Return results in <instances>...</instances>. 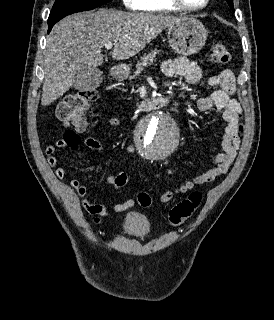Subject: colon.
I'll return each instance as SVG.
<instances>
[{"instance_id": "obj_1", "label": "colon", "mask_w": 274, "mask_h": 320, "mask_svg": "<svg viewBox=\"0 0 274 320\" xmlns=\"http://www.w3.org/2000/svg\"><path fill=\"white\" fill-rule=\"evenodd\" d=\"M210 60L216 65L228 64L231 61V53L225 44L217 42L212 46ZM98 99V94L93 89H79L68 93L56 110L57 118L63 123L66 128L61 142L64 139H75V145L79 143V132L74 131L70 126L71 120H85L84 115ZM53 167V166H52ZM122 175L114 176V188L122 189L127 185V176L123 175L125 172H120ZM138 201L141 205H151V198L141 193L138 195ZM202 201V196L199 192H193L189 197L183 199L176 204L169 213V221L173 225H179L185 220L189 219L194 211L199 207Z\"/></svg>"}]
</instances>
